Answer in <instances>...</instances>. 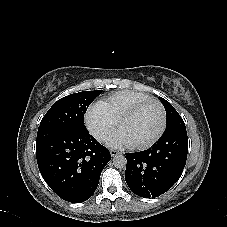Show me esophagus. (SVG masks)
<instances>
[{
    "label": "esophagus",
    "instance_id": "1",
    "mask_svg": "<svg viewBox=\"0 0 227 227\" xmlns=\"http://www.w3.org/2000/svg\"><path fill=\"white\" fill-rule=\"evenodd\" d=\"M110 153H111V156H112V157H116V156H118L119 154H121L119 151L114 150V149H111V150H110Z\"/></svg>",
    "mask_w": 227,
    "mask_h": 227
}]
</instances>
